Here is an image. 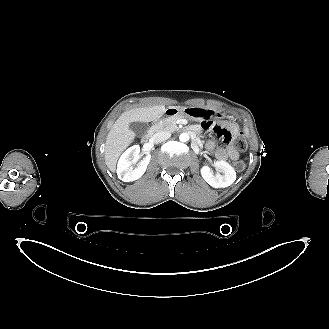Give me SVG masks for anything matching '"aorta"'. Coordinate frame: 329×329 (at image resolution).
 <instances>
[{"label":"aorta","mask_w":329,"mask_h":329,"mask_svg":"<svg viewBox=\"0 0 329 329\" xmlns=\"http://www.w3.org/2000/svg\"><path fill=\"white\" fill-rule=\"evenodd\" d=\"M189 134L188 133H181L180 136H179V140L181 142H187L189 141Z\"/></svg>","instance_id":"aorta-1"}]
</instances>
